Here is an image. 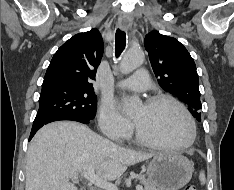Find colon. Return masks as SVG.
Instances as JSON below:
<instances>
[{
    "instance_id": "5ec220e1",
    "label": "colon",
    "mask_w": 234,
    "mask_h": 190,
    "mask_svg": "<svg viewBox=\"0 0 234 190\" xmlns=\"http://www.w3.org/2000/svg\"><path fill=\"white\" fill-rule=\"evenodd\" d=\"M184 190H196L195 189V187L194 186H192V185H188V186H186L185 187V189Z\"/></svg>"
}]
</instances>
